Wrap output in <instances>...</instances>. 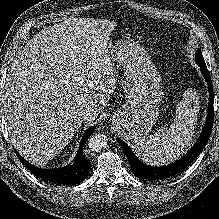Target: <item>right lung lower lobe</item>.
Returning a JSON list of instances; mask_svg holds the SVG:
<instances>
[{
    "label": "right lung lower lobe",
    "instance_id": "1",
    "mask_svg": "<svg viewBox=\"0 0 219 219\" xmlns=\"http://www.w3.org/2000/svg\"><path fill=\"white\" fill-rule=\"evenodd\" d=\"M95 128V126H92L85 131L81 139L80 147L76 154L74 163L63 168L40 169L28 163L17 151L15 152L21 163L39 178L52 183L75 185L81 183L89 174L91 162L84 157L83 147L88 138L94 132Z\"/></svg>",
    "mask_w": 219,
    "mask_h": 219
}]
</instances>
